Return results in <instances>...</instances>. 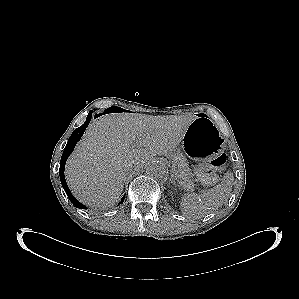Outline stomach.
<instances>
[{"label":"stomach","mask_w":299,"mask_h":299,"mask_svg":"<svg viewBox=\"0 0 299 299\" xmlns=\"http://www.w3.org/2000/svg\"><path fill=\"white\" fill-rule=\"evenodd\" d=\"M224 140L215 123L205 115H199L189 124L183 146L186 156L197 163H208L222 152Z\"/></svg>","instance_id":"stomach-1"}]
</instances>
